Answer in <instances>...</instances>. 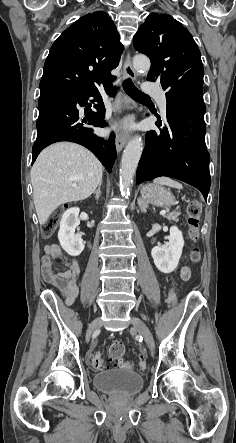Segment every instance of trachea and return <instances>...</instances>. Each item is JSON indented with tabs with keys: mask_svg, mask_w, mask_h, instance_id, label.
Returning a JSON list of instances; mask_svg holds the SVG:
<instances>
[{
	"mask_svg": "<svg viewBox=\"0 0 236 443\" xmlns=\"http://www.w3.org/2000/svg\"><path fill=\"white\" fill-rule=\"evenodd\" d=\"M123 88L131 98H133L138 102H144L150 100V97L148 95L144 94L135 87L130 78L124 80Z\"/></svg>",
	"mask_w": 236,
	"mask_h": 443,
	"instance_id": "trachea-1",
	"label": "trachea"
}]
</instances>
